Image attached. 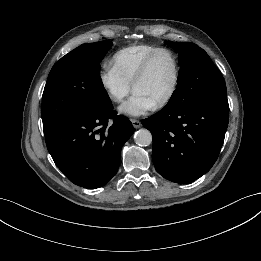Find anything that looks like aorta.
<instances>
[{"label": "aorta", "mask_w": 261, "mask_h": 261, "mask_svg": "<svg viewBox=\"0 0 261 261\" xmlns=\"http://www.w3.org/2000/svg\"><path fill=\"white\" fill-rule=\"evenodd\" d=\"M134 140L137 145L146 147L152 143V134L149 130L142 128L135 132Z\"/></svg>", "instance_id": "762f6f07"}]
</instances>
